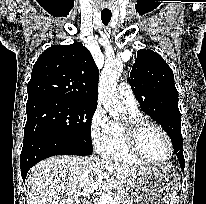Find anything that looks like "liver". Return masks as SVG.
<instances>
[{
	"instance_id": "liver-1",
	"label": "liver",
	"mask_w": 206,
	"mask_h": 204,
	"mask_svg": "<svg viewBox=\"0 0 206 204\" xmlns=\"http://www.w3.org/2000/svg\"><path fill=\"white\" fill-rule=\"evenodd\" d=\"M146 167L97 157L59 155L30 169L26 177L27 204H76L74 195L102 178V190L110 192L131 185Z\"/></svg>"
}]
</instances>
